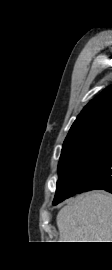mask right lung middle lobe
Masks as SVG:
<instances>
[{
  "mask_svg": "<svg viewBox=\"0 0 112 270\" xmlns=\"http://www.w3.org/2000/svg\"><path fill=\"white\" fill-rule=\"evenodd\" d=\"M112 143V123L91 128L63 144L53 205L83 192L82 177Z\"/></svg>",
  "mask_w": 112,
  "mask_h": 270,
  "instance_id": "1",
  "label": "right lung middle lobe"
}]
</instances>
